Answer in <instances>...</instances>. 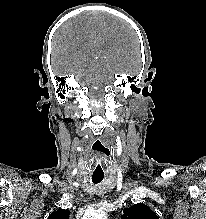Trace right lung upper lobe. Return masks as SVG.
I'll return each instance as SVG.
<instances>
[{"instance_id": "obj_1", "label": "right lung upper lobe", "mask_w": 206, "mask_h": 219, "mask_svg": "<svg viewBox=\"0 0 206 219\" xmlns=\"http://www.w3.org/2000/svg\"><path fill=\"white\" fill-rule=\"evenodd\" d=\"M69 210L68 209H59L58 211L53 212L48 219H69Z\"/></svg>"}]
</instances>
